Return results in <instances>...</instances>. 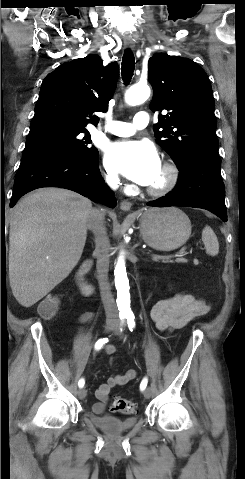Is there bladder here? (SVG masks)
Segmentation results:
<instances>
[{"label":"bladder","mask_w":245,"mask_h":479,"mask_svg":"<svg viewBox=\"0 0 245 479\" xmlns=\"http://www.w3.org/2000/svg\"><path fill=\"white\" fill-rule=\"evenodd\" d=\"M91 422L108 434H118L131 429L136 423V417L116 418L112 416L91 415Z\"/></svg>","instance_id":"bladder-1"}]
</instances>
